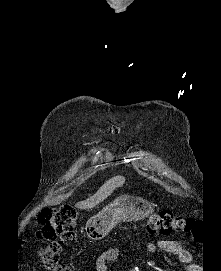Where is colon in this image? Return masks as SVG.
I'll list each match as a JSON object with an SVG mask.
<instances>
[{"mask_svg":"<svg viewBox=\"0 0 221 271\" xmlns=\"http://www.w3.org/2000/svg\"><path fill=\"white\" fill-rule=\"evenodd\" d=\"M77 217V211L67 204L57 207L47 206L37 211L35 220L39 228L36 235L49 241L38 253L46 270L67 271L59 260V253L64 242L75 238ZM147 228L150 233L160 231L166 234L198 235L200 223L192 217L176 215L170 211H158L147 221Z\"/></svg>","mask_w":221,"mask_h":271,"instance_id":"obj_1","label":"colon"}]
</instances>
